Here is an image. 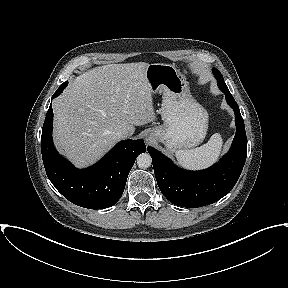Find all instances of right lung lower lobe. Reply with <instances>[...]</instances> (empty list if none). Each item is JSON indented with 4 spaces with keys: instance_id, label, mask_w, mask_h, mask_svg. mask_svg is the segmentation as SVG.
<instances>
[{
    "instance_id": "obj_1",
    "label": "right lung lower lobe",
    "mask_w": 288,
    "mask_h": 288,
    "mask_svg": "<svg viewBox=\"0 0 288 288\" xmlns=\"http://www.w3.org/2000/svg\"><path fill=\"white\" fill-rule=\"evenodd\" d=\"M63 90H57L53 98ZM53 110L50 105L42 128L41 152L46 174L55 188L70 202L89 209L113 206L122 196L137 156L146 151L142 140H123L101 161L77 169L60 156L52 141Z\"/></svg>"
}]
</instances>
